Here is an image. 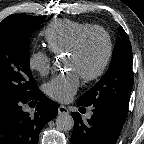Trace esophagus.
<instances>
[{
  "instance_id": "1",
  "label": "esophagus",
  "mask_w": 144,
  "mask_h": 144,
  "mask_svg": "<svg viewBox=\"0 0 144 144\" xmlns=\"http://www.w3.org/2000/svg\"><path fill=\"white\" fill-rule=\"evenodd\" d=\"M68 113H69V110L66 106L60 105L58 107V114H68Z\"/></svg>"
}]
</instances>
